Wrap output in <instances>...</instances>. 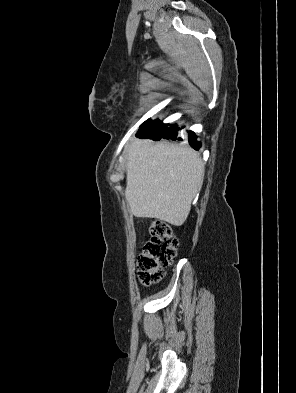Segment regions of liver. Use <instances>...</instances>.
Masks as SVG:
<instances>
[{
  "label": "liver",
  "mask_w": 296,
  "mask_h": 393,
  "mask_svg": "<svg viewBox=\"0 0 296 393\" xmlns=\"http://www.w3.org/2000/svg\"><path fill=\"white\" fill-rule=\"evenodd\" d=\"M125 197L131 213L181 226L204 178V163L190 148L134 139L126 149Z\"/></svg>",
  "instance_id": "obj_1"
}]
</instances>
